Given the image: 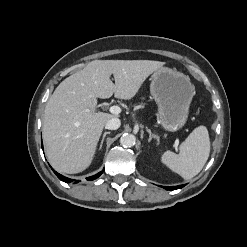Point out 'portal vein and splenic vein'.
Segmentation results:
<instances>
[{
	"mask_svg": "<svg viewBox=\"0 0 247 247\" xmlns=\"http://www.w3.org/2000/svg\"><path fill=\"white\" fill-rule=\"evenodd\" d=\"M109 111L112 113V114H119L121 112V108L117 105H114V106H111L109 108Z\"/></svg>",
	"mask_w": 247,
	"mask_h": 247,
	"instance_id": "obj_1",
	"label": "portal vein and splenic vein"
}]
</instances>
